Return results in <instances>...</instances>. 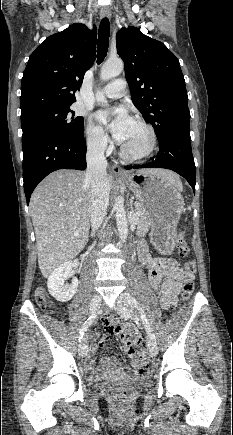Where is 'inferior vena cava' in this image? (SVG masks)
I'll return each mask as SVG.
<instances>
[{
  "mask_svg": "<svg viewBox=\"0 0 233 435\" xmlns=\"http://www.w3.org/2000/svg\"><path fill=\"white\" fill-rule=\"evenodd\" d=\"M105 147L106 144L100 141L90 146L86 155L85 180L91 183V226L93 232L101 226L109 205L110 186L106 173Z\"/></svg>",
  "mask_w": 233,
  "mask_h": 435,
  "instance_id": "obj_1",
  "label": "inferior vena cava"
}]
</instances>
